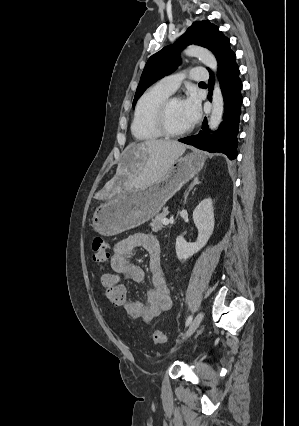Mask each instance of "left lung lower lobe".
<instances>
[{"mask_svg": "<svg viewBox=\"0 0 299 426\" xmlns=\"http://www.w3.org/2000/svg\"><path fill=\"white\" fill-rule=\"evenodd\" d=\"M236 56L232 50H227L218 59L219 81L225 104L224 120L214 134H209L207 119L203 122V131L197 135L185 137L178 141L192 145L198 149L211 153L221 152L230 160L237 157V135L241 115L242 83L239 78V67L236 64ZM214 79L213 74L208 81L211 101Z\"/></svg>", "mask_w": 299, "mask_h": 426, "instance_id": "left-lung-lower-lobe-1", "label": "left lung lower lobe"}]
</instances>
